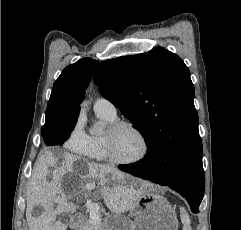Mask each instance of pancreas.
I'll return each instance as SVG.
<instances>
[{
  "mask_svg": "<svg viewBox=\"0 0 241 230\" xmlns=\"http://www.w3.org/2000/svg\"><path fill=\"white\" fill-rule=\"evenodd\" d=\"M78 230H105L103 227L102 220L99 223H92L90 217L85 218L79 225Z\"/></svg>",
  "mask_w": 241,
  "mask_h": 230,
  "instance_id": "obj_1",
  "label": "pancreas"
}]
</instances>
